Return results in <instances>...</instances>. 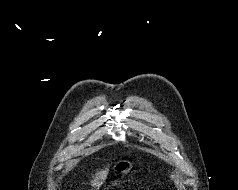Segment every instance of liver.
I'll return each instance as SVG.
<instances>
[{
    "label": "liver",
    "mask_w": 238,
    "mask_h": 190,
    "mask_svg": "<svg viewBox=\"0 0 238 190\" xmlns=\"http://www.w3.org/2000/svg\"><path fill=\"white\" fill-rule=\"evenodd\" d=\"M109 168L106 167L104 170H101L95 174L93 180L91 181V185L97 189L103 184L107 175H108Z\"/></svg>",
    "instance_id": "liver-1"
}]
</instances>
